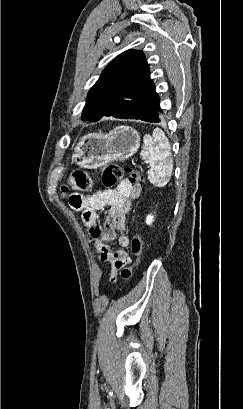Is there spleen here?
Wrapping results in <instances>:
<instances>
[{
    "label": "spleen",
    "mask_w": 243,
    "mask_h": 409,
    "mask_svg": "<svg viewBox=\"0 0 243 409\" xmlns=\"http://www.w3.org/2000/svg\"><path fill=\"white\" fill-rule=\"evenodd\" d=\"M143 142L140 155L149 163L148 180L156 187H163L169 182L173 170L171 145L160 128H155L152 136L146 134Z\"/></svg>",
    "instance_id": "1"
}]
</instances>
